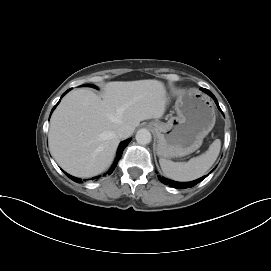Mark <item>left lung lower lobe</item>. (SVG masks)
<instances>
[{
    "label": "left lung lower lobe",
    "mask_w": 271,
    "mask_h": 271,
    "mask_svg": "<svg viewBox=\"0 0 271 271\" xmlns=\"http://www.w3.org/2000/svg\"><path fill=\"white\" fill-rule=\"evenodd\" d=\"M202 90L204 92H206L207 94H209L213 99L214 101L216 102L217 106L219 107V104H218V101L217 99L215 98V96L207 89H204L202 88ZM220 109V107H219ZM221 110V109H220ZM207 175L197 179V180H194V181H191V182H186V183H182V182H176V181H172V180H168L164 177H160L159 176V180L163 183V184H168L174 188H177V189H185V188H191L193 186H195L197 183H199L200 181H202L204 178H206Z\"/></svg>",
    "instance_id": "obj_1"
}]
</instances>
